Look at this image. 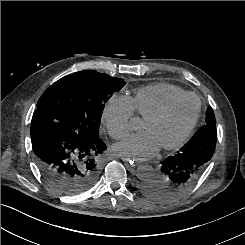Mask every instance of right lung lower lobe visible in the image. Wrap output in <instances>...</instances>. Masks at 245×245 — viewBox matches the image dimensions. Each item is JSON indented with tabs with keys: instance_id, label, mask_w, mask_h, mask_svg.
Listing matches in <instances>:
<instances>
[{
	"instance_id": "1",
	"label": "right lung lower lobe",
	"mask_w": 245,
	"mask_h": 245,
	"mask_svg": "<svg viewBox=\"0 0 245 245\" xmlns=\"http://www.w3.org/2000/svg\"><path fill=\"white\" fill-rule=\"evenodd\" d=\"M31 141L42 176L59 193L80 194L97 181L106 150L100 138L86 139L46 110L36 109Z\"/></svg>"
}]
</instances>
